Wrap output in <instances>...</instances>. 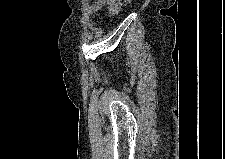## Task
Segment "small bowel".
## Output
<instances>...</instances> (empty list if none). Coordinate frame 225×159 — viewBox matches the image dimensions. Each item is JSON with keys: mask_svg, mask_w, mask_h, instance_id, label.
Here are the masks:
<instances>
[{"mask_svg": "<svg viewBox=\"0 0 225 159\" xmlns=\"http://www.w3.org/2000/svg\"><path fill=\"white\" fill-rule=\"evenodd\" d=\"M105 4H106V0H96L93 3H91L89 6V10L91 14L96 15ZM111 9L113 10L114 7L111 6Z\"/></svg>", "mask_w": 225, "mask_h": 159, "instance_id": "obj_1", "label": "small bowel"}]
</instances>
